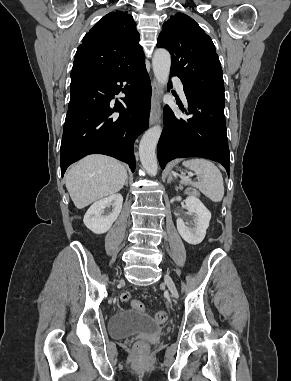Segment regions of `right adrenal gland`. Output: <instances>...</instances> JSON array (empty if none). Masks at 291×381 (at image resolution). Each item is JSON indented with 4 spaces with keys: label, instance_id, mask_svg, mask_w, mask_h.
<instances>
[{
    "label": "right adrenal gland",
    "instance_id": "right-adrenal-gland-1",
    "mask_svg": "<svg viewBox=\"0 0 291 381\" xmlns=\"http://www.w3.org/2000/svg\"><path fill=\"white\" fill-rule=\"evenodd\" d=\"M125 185L128 186V178L126 179Z\"/></svg>",
    "mask_w": 291,
    "mask_h": 381
}]
</instances>
